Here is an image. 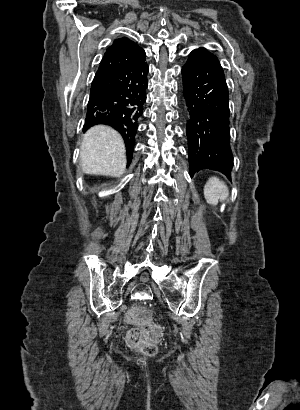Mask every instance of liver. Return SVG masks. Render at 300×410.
I'll use <instances>...</instances> for the list:
<instances>
[{
  "label": "liver",
  "instance_id": "liver-1",
  "mask_svg": "<svg viewBox=\"0 0 300 410\" xmlns=\"http://www.w3.org/2000/svg\"><path fill=\"white\" fill-rule=\"evenodd\" d=\"M80 162L86 174L120 177L126 168V150L121 135L104 125L90 128L83 137Z\"/></svg>",
  "mask_w": 300,
  "mask_h": 410
}]
</instances>
